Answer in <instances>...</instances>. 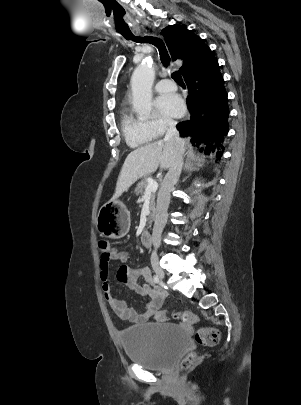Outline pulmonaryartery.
Listing matches in <instances>:
<instances>
[{"instance_id":"e3ab8cb5","label":"pulmonary artery","mask_w":301,"mask_h":405,"mask_svg":"<svg viewBox=\"0 0 301 405\" xmlns=\"http://www.w3.org/2000/svg\"><path fill=\"white\" fill-rule=\"evenodd\" d=\"M154 89L158 93H168L175 91L177 89V86L173 81L169 79H163L155 84Z\"/></svg>"}]
</instances>
